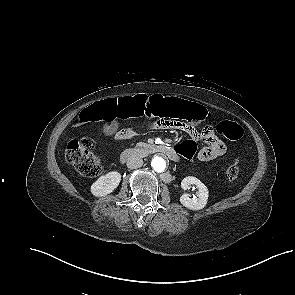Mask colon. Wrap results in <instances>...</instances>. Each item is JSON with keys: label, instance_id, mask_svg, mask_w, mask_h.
<instances>
[{"label": "colon", "instance_id": "5ec220e1", "mask_svg": "<svg viewBox=\"0 0 295 295\" xmlns=\"http://www.w3.org/2000/svg\"><path fill=\"white\" fill-rule=\"evenodd\" d=\"M149 116L169 118L189 125H198L209 118L208 111L201 105L177 98L134 97L121 101L97 103L80 114V123L102 121L113 123L133 117ZM216 131L228 140H238L243 135L240 125L230 120H223L216 126ZM94 142L89 137L70 138L65 152L67 161L77 172L87 177H96L102 167L99 159L93 154ZM184 158L195 156L196 148L192 141H184L178 146ZM240 173L238 161H234L226 170L228 181L235 180Z\"/></svg>", "mask_w": 295, "mask_h": 295}]
</instances>
